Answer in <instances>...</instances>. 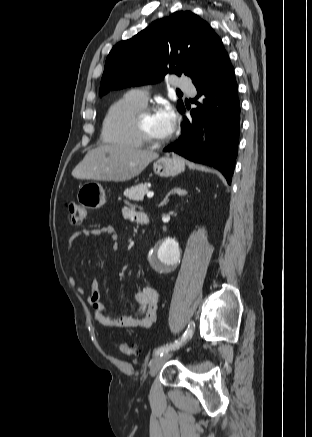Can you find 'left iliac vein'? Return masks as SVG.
I'll return each mask as SVG.
<instances>
[{"instance_id": "1", "label": "left iliac vein", "mask_w": 312, "mask_h": 437, "mask_svg": "<svg viewBox=\"0 0 312 437\" xmlns=\"http://www.w3.org/2000/svg\"><path fill=\"white\" fill-rule=\"evenodd\" d=\"M171 357V353H164L163 355H158L150 363V375L154 376L161 369L163 364Z\"/></svg>"}]
</instances>
